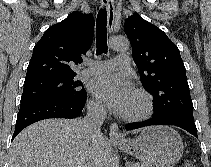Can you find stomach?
Segmentation results:
<instances>
[{"label":"stomach","instance_id":"obj_1","mask_svg":"<svg viewBox=\"0 0 211 167\" xmlns=\"http://www.w3.org/2000/svg\"><path fill=\"white\" fill-rule=\"evenodd\" d=\"M116 145L145 167H174L184 149L180 135L168 126L145 128L137 138Z\"/></svg>","mask_w":211,"mask_h":167}]
</instances>
